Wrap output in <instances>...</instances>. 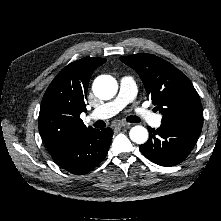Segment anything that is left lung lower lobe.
<instances>
[{
	"label": "left lung lower lobe",
	"mask_w": 221,
	"mask_h": 221,
	"mask_svg": "<svg viewBox=\"0 0 221 221\" xmlns=\"http://www.w3.org/2000/svg\"><path fill=\"white\" fill-rule=\"evenodd\" d=\"M202 128L190 125L161 124L158 129L148 127L149 139L140 151L161 166L182 162L194 147Z\"/></svg>",
	"instance_id": "1"
}]
</instances>
